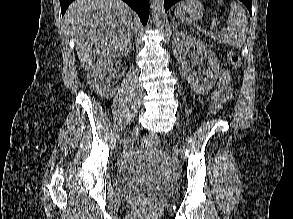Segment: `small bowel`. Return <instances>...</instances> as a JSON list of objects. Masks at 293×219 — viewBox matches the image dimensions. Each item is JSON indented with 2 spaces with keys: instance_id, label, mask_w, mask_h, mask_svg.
<instances>
[{
  "instance_id": "1",
  "label": "small bowel",
  "mask_w": 293,
  "mask_h": 219,
  "mask_svg": "<svg viewBox=\"0 0 293 219\" xmlns=\"http://www.w3.org/2000/svg\"><path fill=\"white\" fill-rule=\"evenodd\" d=\"M231 75L228 70L222 69L216 88L212 93V99L214 101L224 102L231 95Z\"/></svg>"
}]
</instances>
